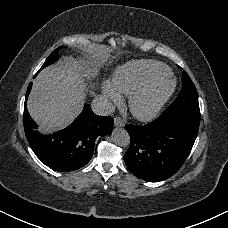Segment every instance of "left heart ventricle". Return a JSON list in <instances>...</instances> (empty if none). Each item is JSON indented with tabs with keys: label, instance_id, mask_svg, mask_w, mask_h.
Here are the masks:
<instances>
[{
	"label": "left heart ventricle",
	"instance_id": "obj_1",
	"mask_svg": "<svg viewBox=\"0 0 228 228\" xmlns=\"http://www.w3.org/2000/svg\"><path fill=\"white\" fill-rule=\"evenodd\" d=\"M164 90H157L153 93H150L145 100L142 102L141 106L143 108H147L151 103H153L155 100H157L162 94H163Z\"/></svg>",
	"mask_w": 228,
	"mask_h": 228
}]
</instances>
